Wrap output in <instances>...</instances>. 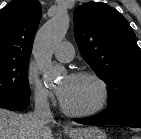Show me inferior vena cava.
Here are the masks:
<instances>
[{"label": "inferior vena cava", "mask_w": 141, "mask_h": 139, "mask_svg": "<svg viewBox=\"0 0 141 139\" xmlns=\"http://www.w3.org/2000/svg\"><path fill=\"white\" fill-rule=\"evenodd\" d=\"M33 117L40 127L53 121V115L50 110L47 96L45 94L37 93L35 95V109Z\"/></svg>", "instance_id": "inferior-vena-cava-1"}]
</instances>
